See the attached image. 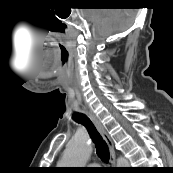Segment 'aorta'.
Here are the masks:
<instances>
[{"label":"aorta","mask_w":173,"mask_h":173,"mask_svg":"<svg viewBox=\"0 0 173 173\" xmlns=\"http://www.w3.org/2000/svg\"><path fill=\"white\" fill-rule=\"evenodd\" d=\"M92 146L87 138H76L70 142L60 161L62 167H83L89 159ZM129 162L124 157L117 159L118 167H128Z\"/></svg>","instance_id":"obj_1"}]
</instances>
